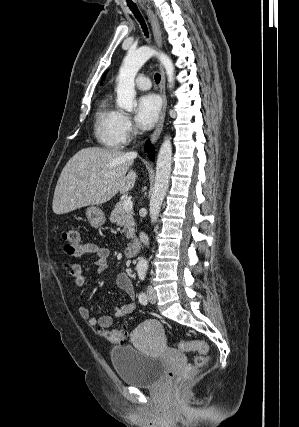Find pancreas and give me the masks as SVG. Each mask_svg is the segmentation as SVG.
<instances>
[{
    "label": "pancreas",
    "instance_id": "cf45deb5",
    "mask_svg": "<svg viewBox=\"0 0 299 427\" xmlns=\"http://www.w3.org/2000/svg\"><path fill=\"white\" fill-rule=\"evenodd\" d=\"M123 202L120 201L117 203L113 211L111 212L110 221L116 223L117 225H123L124 228L122 232H125L128 239L134 237L135 233V221L131 211H125L123 209Z\"/></svg>",
    "mask_w": 299,
    "mask_h": 427
}]
</instances>
